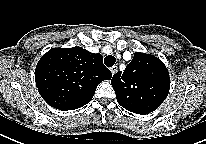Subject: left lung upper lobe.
<instances>
[{"label":"left lung upper lobe","instance_id":"1","mask_svg":"<svg viewBox=\"0 0 206 144\" xmlns=\"http://www.w3.org/2000/svg\"><path fill=\"white\" fill-rule=\"evenodd\" d=\"M111 84L123 108L137 114H148L167 97L170 77L158 58L136 52L125 71L113 76Z\"/></svg>","mask_w":206,"mask_h":144}]
</instances>
